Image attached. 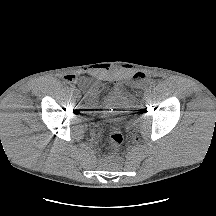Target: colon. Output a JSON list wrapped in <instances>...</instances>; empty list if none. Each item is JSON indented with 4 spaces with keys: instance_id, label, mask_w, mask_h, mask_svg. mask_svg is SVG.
<instances>
[{
    "instance_id": "5ec220e1",
    "label": "colon",
    "mask_w": 216,
    "mask_h": 216,
    "mask_svg": "<svg viewBox=\"0 0 216 216\" xmlns=\"http://www.w3.org/2000/svg\"><path fill=\"white\" fill-rule=\"evenodd\" d=\"M124 136L120 127H113L109 131L108 144L112 148H118L123 143Z\"/></svg>"
}]
</instances>
